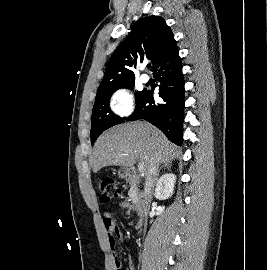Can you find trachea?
<instances>
[{
	"label": "trachea",
	"mask_w": 267,
	"mask_h": 270,
	"mask_svg": "<svg viewBox=\"0 0 267 270\" xmlns=\"http://www.w3.org/2000/svg\"><path fill=\"white\" fill-rule=\"evenodd\" d=\"M150 67H151V64H148V65H147V68H150Z\"/></svg>",
	"instance_id": "trachea-1"
}]
</instances>
